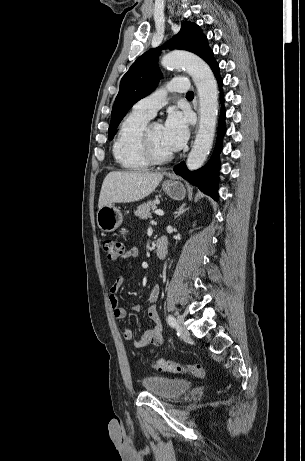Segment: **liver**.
<instances>
[{"label": "liver", "mask_w": 305, "mask_h": 461, "mask_svg": "<svg viewBox=\"0 0 305 461\" xmlns=\"http://www.w3.org/2000/svg\"><path fill=\"white\" fill-rule=\"evenodd\" d=\"M162 179L161 173L112 171L103 181L98 208L112 203L139 201L151 194Z\"/></svg>", "instance_id": "liver-1"}]
</instances>
